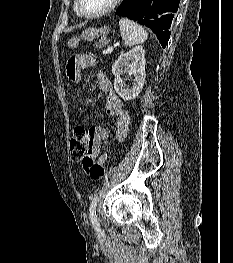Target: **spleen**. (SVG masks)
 <instances>
[{"mask_svg":"<svg viewBox=\"0 0 233 263\" xmlns=\"http://www.w3.org/2000/svg\"><path fill=\"white\" fill-rule=\"evenodd\" d=\"M119 27L122 39L127 47L143 43L148 38L147 31L142 26L129 19H120Z\"/></svg>","mask_w":233,"mask_h":263,"instance_id":"obj_1","label":"spleen"}]
</instances>
